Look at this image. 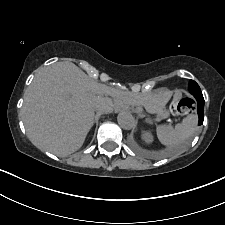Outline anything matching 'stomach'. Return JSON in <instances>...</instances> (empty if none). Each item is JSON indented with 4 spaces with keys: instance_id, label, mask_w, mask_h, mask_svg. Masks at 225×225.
I'll list each match as a JSON object with an SVG mask.
<instances>
[{
    "instance_id": "obj_1",
    "label": "stomach",
    "mask_w": 225,
    "mask_h": 225,
    "mask_svg": "<svg viewBox=\"0 0 225 225\" xmlns=\"http://www.w3.org/2000/svg\"><path fill=\"white\" fill-rule=\"evenodd\" d=\"M169 99L168 94H160L149 98L147 102L144 104V107L147 109L148 112L151 113H158L162 117H165V105Z\"/></svg>"
}]
</instances>
